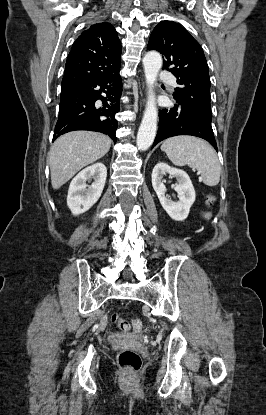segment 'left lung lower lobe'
<instances>
[{"label":"left lung lower lobe","instance_id":"0a47b994","mask_svg":"<svg viewBox=\"0 0 266 415\" xmlns=\"http://www.w3.org/2000/svg\"><path fill=\"white\" fill-rule=\"evenodd\" d=\"M177 135H192L203 138L217 151L212 127L175 104L172 108L163 109L159 113V129L153 147L160 141Z\"/></svg>","mask_w":266,"mask_h":415}]
</instances>
